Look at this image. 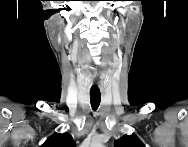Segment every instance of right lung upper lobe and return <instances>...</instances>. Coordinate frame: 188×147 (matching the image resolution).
I'll list each match as a JSON object with an SVG mask.
<instances>
[{"label":"right lung upper lobe","mask_w":188,"mask_h":147,"mask_svg":"<svg viewBox=\"0 0 188 147\" xmlns=\"http://www.w3.org/2000/svg\"><path fill=\"white\" fill-rule=\"evenodd\" d=\"M72 137L68 133H55L50 136L42 147H74Z\"/></svg>","instance_id":"obj_1"}]
</instances>
